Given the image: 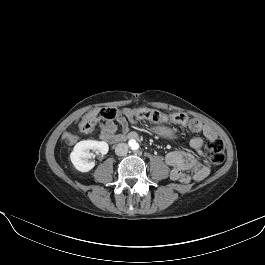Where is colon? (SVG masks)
Here are the masks:
<instances>
[{
  "mask_svg": "<svg viewBox=\"0 0 265 265\" xmlns=\"http://www.w3.org/2000/svg\"><path fill=\"white\" fill-rule=\"evenodd\" d=\"M139 119H146L152 123H174L180 125H191V120L183 113H162L155 109L133 108L128 109ZM120 113L115 107H101L90 114L83 116L77 122L76 130L81 133H91L95 124L100 120H113ZM75 139L74 135L69 137L70 141ZM205 157L215 166L220 165L225 159V149L223 142L216 138L208 142L204 150Z\"/></svg>",
  "mask_w": 265,
  "mask_h": 265,
  "instance_id": "5ec220e1",
  "label": "colon"
}]
</instances>
